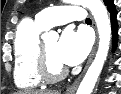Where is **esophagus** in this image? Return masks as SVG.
Returning <instances> with one entry per match:
<instances>
[{"label":"esophagus","mask_w":121,"mask_h":94,"mask_svg":"<svg viewBox=\"0 0 121 94\" xmlns=\"http://www.w3.org/2000/svg\"><path fill=\"white\" fill-rule=\"evenodd\" d=\"M93 25H94V27H95V23H94V22H93ZM97 43H98V39L96 40V43H95V45H94V48H93V50H92V52H91V54H90V56H89V58H88L87 64H86V66H85L83 72H82L81 75L74 81V83L66 89L65 94H75V92H76V90H77V87H78V85H79V83H80V81H81V79H82L84 73L86 72L87 68L89 67V65H90V63H91V61H92V59H93V57H94V55H95L96 48H97Z\"/></svg>","instance_id":"1"}]
</instances>
